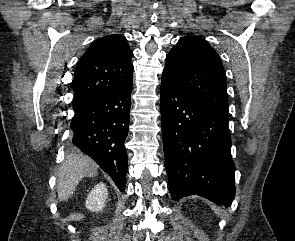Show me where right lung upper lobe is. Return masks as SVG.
<instances>
[{
    "mask_svg": "<svg viewBox=\"0 0 295 241\" xmlns=\"http://www.w3.org/2000/svg\"><path fill=\"white\" fill-rule=\"evenodd\" d=\"M132 55L126 38L120 34L93 42L75 69L73 103L132 83Z\"/></svg>",
    "mask_w": 295,
    "mask_h": 241,
    "instance_id": "cb5924a9",
    "label": "right lung upper lobe"
}]
</instances>
